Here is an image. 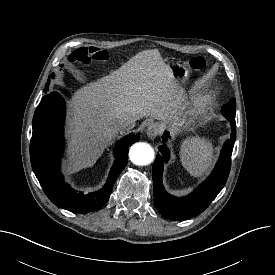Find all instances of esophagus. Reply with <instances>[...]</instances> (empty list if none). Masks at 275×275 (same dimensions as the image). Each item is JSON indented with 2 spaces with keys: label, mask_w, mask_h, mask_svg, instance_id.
Here are the masks:
<instances>
[{
  "label": "esophagus",
  "mask_w": 275,
  "mask_h": 275,
  "mask_svg": "<svg viewBox=\"0 0 275 275\" xmlns=\"http://www.w3.org/2000/svg\"><path fill=\"white\" fill-rule=\"evenodd\" d=\"M160 132V126L157 123H150L147 127L146 133L150 139L155 138Z\"/></svg>",
  "instance_id": "34e87169"
}]
</instances>
